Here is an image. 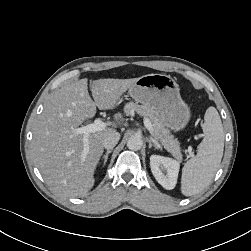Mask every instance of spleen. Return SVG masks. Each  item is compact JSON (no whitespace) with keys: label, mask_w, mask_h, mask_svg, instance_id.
Here are the masks:
<instances>
[{"label":"spleen","mask_w":251,"mask_h":251,"mask_svg":"<svg viewBox=\"0 0 251 251\" xmlns=\"http://www.w3.org/2000/svg\"><path fill=\"white\" fill-rule=\"evenodd\" d=\"M204 139L196 156L189 159L182 169L181 191L192 196L203 191L217 172L223 156L224 131L218 111L209 107L204 115Z\"/></svg>","instance_id":"obj_1"}]
</instances>
